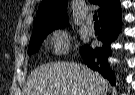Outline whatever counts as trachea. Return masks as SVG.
<instances>
[{
	"label": "trachea",
	"instance_id": "obj_1",
	"mask_svg": "<svg viewBox=\"0 0 135 95\" xmlns=\"http://www.w3.org/2000/svg\"><path fill=\"white\" fill-rule=\"evenodd\" d=\"M97 19H98L97 14H94L93 20H95V26H99V23H98Z\"/></svg>",
	"mask_w": 135,
	"mask_h": 95
}]
</instances>
